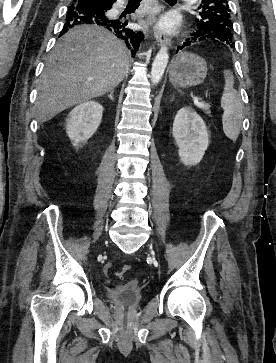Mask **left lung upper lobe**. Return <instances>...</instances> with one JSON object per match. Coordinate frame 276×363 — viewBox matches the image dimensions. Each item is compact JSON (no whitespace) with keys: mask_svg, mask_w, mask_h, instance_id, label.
Returning <instances> with one entry per match:
<instances>
[{"mask_svg":"<svg viewBox=\"0 0 276 363\" xmlns=\"http://www.w3.org/2000/svg\"><path fill=\"white\" fill-rule=\"evenodd\" d=\"M199 18L195 19V29L230 44L233 34L230 9L227 0H202L198 8Z\"/></svg>","mask_w":276,"mask_h":363,"instance_id":"5c2ea615","label":"left lung upper lobe"}]
</instances>
